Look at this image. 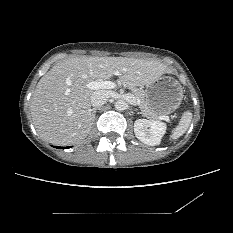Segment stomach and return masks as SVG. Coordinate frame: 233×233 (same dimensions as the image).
Here are the masks:
<instances>
[{
    "mask_svg": "<svg viewBox=\"0 0 233 233\" xmlns=\"http://www.w3.org/2000/svg\"><path fill=\"white\" fill-rule=\"evenodd\" d=\"M181 84L170 76H162L144 90L145 101L157 114H170L175 111L183 99Z\"/></svg>",
    "mask_w": 233,
    "mask_h": 233,
    "instance_id": "0dacf381",
    "label": "stomach"
}]
</instances>
